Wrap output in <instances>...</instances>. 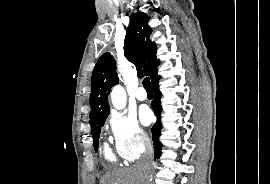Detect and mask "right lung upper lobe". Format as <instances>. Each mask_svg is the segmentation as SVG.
<instances>
[{"label": "right lung upper lobe", "instance_id": "obj_1", "mask_svg": "<svg viewBox=\"0 0 270 184\" xmlns=\"http://www.w3.org/2000/svg\"><path fill=\"white\" fill-rule=\"evenodd\" d=\"M149 17L143 12L132 13L124 40V54L135 64L139 77L148 75L151 81L157 76L159 60L156 58V44L149 40L152 28L147 24ZM116 64L113 56L106 52L98 60L92 73L90 94V126L105 121L109 115L107 96L118 84Z\"/></svg>", "mask_w": 270, "mask_h": 184}]
</instances>
